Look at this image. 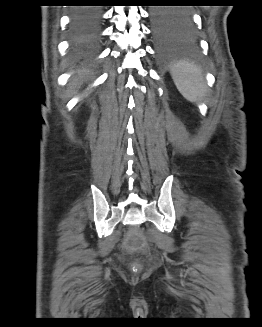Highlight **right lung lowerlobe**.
<instances>
[{"mask_svg": "<svg viewBox=\"0 0 262 327\" xmlns=\"http://www.w3.org/2000/svg\"><path fill=\"white\" fill-rule=\"evenodd\" d=\"M102 11L95 7L78 8L72 13L71 35L75 42L95 43L101 33Z\"/></svg>", "mask_w": 262, "mask_h": 327, "instance_id": "98d812e1", "label": "right lung lower lobe"}]
</instances>
